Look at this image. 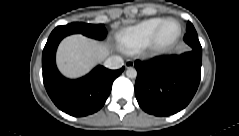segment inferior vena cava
Wrapping results in <instances>:
<instances>
[{
    "label": "inferior vena cava",
    "instance_id": "obj_1",
    "mask_svg": "<svg viewBox=\"0 0 239 136\" xmlns=\"http://www.w3.org/2000/svg\"><path fill=\"white\" fill-rule=\"evenodd\" d=\"M124 65V61L120 56H111L108 57L105 62L104 66L109 69H119Z\"/></svg>",
    "mask_w": 239,
    "mask_h": 136
}]
</instances>
